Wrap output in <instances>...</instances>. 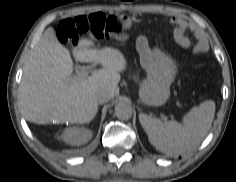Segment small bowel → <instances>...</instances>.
I'll use <instances>...</instances> for the list:
<instances>
[{
	"instance_id": "c3829d8e",
	"label": "small bowel",
	"mask_w": 236,
	"mask_h": 182,
	"mask_svg": "<svg viewBox=\"0 0 236 182\" xmlns=\"http://www.w3.org/2000/svg\"><path fill=\"white\" fill-rule=\"evenodd\" d=\"M172 23L176 26L175 28V38L180 45H186L187 39L184 36V31L186 28V24L179 18L173 17ZM202 50V45H198L196 48V52H200Z\"/></svg>"
}]
</instances>
